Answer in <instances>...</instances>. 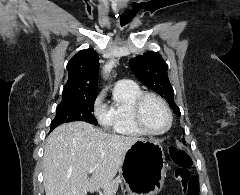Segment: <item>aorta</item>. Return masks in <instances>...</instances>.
Returning <instances> with one entry per match:
<instances>
[{
    "label": "aorta",
    "instance_id": "1",
    "mask_svg": "<svg viewBox=\"0 0 240 195\" xmlns=\"http://www.w3.org/2000/svg\"><path fill=\"white\" fill-rule=\"evenodd\" d=\"M116 62H117V60H114V58H110V60H108V62H106L105 66H103V68H102V74H103L104 78H107L108 74H110V72H112L113 68H115V66H116Z\"/></svg>",
    "mask_w": 240,
    "mask_h": 195
}]
</instances>
